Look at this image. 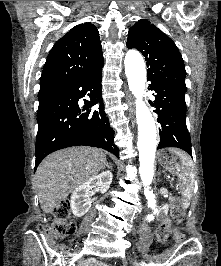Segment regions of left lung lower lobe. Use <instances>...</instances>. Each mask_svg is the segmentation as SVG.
Returning a JSON list of instances; mask_svg holds the SVG:
<instances>
[{
  "mask_svg": "<svg viewBox=\"0 0 221 266\" xmlns=\"http://www.w3.org/2000/svg\"><path fill=\"white\" fill-rule=\"evenodd\" d=\"M149 90L154 91L160 143L158 149L177 147L192 156L190 135L186 126L185 92L161 81L151 80Z\"/></svg>",
  "mask_w": 221,
  "mask_h": 266,
  "instance_id": "0a47b994",
  "label": "left lung lower lobe"
}]
</instances>
